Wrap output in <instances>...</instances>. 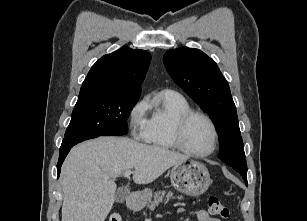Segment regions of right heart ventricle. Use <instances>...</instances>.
<instances>
[{"instance_id": "obj_1", "label": "right heart ventricle", "mask_w": 307, "mask_h": 221, "mask_svg": "<svg viewBox=\"0 0 307 221\" xmlns=\"http://www.w3.org/2000/svg\"><path fill=\"white\" fill-rule=\"evenodd\" d=\"M151 115L148 120L146 142L164 149H175L173 133L178 117L192 110L189 102L179 93L163 91L148 103Z\"/></svg>"}]
</instances>
